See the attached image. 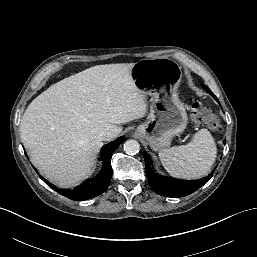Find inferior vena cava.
I'll return each instance as SVG.
<instances>
[{
  "instance_id": "obj_1",
  "label": "inferior vena cava",
  "mask_w": 257,
  "mask_h": 257,
  "mask_svg": "<svg viewBox=\"0 0 257 257\" xmlns=\"http://www.w3.org/2000/svg\"><path fill=\"white\" fill-rule=\"evenodd\" d=\"M116 136L117 134L113 130L103 131L99 134V137L101 138V140H104V141L111 140Z\"/></svg>"
}]
</instances>
